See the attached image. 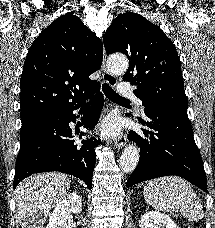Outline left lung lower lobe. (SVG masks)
Listing matches in <instances>:
<instances>
[{
    "label": "left lung lower lobe",
    "instance_id": "left-lung-lower-lobe-1",
    "mask_svg": "<svg viewBox=\"0 0 215 228\" xmlns=\"http://www.w3.org/2000/svg\"><path fill=\"white\" fill-rule=\"evenodd\" d=\"M144 113L148 120L139 121L150 129H142L145 137L134 131L128 135V139L140 147V158L126 185L177 175L207 192V179L187 107H145Z\"/></svg>",
    "mask_w": 215,
    "mask_h": 228
}]
</instances>
